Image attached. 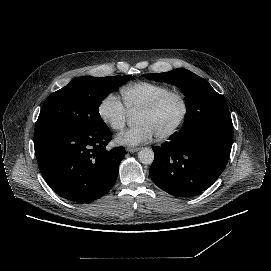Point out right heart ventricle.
Instances as JSON below:
<instances>
[{
    "instance_id": "right-heart-ventricle-1",
    "label": "right heart ventricle",
    "mask_w": 271,
    "mask_h": 271,
    "mask_svg": "<svg viewBox=\"0 0 271 271\" xmlns=\"http://www.w3.org/2000/svg\"><path fill=\"white\" fill-rule=\"evenodd\" d=\"M168 90L165 84L140 81L122 87L121 94L128 112L137 113Z\"/></svg>"
}]
</instances>
